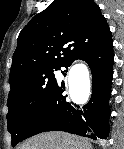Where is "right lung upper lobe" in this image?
<instances>
[{
    "mask_svg": "<svg viewBox=\"0 0 124 149\" xmlns=\"http://www.w3.org/2000/svg\"><path fill=\"white\" fill-rule=\"evenodd\" d=\"M111 39L101 10L93 0H54L22 29L13 54L9 84L60 69Z\"/></svg>",
    "mask_w": 124,
    "mask_h": 149,
    "instance_id": "right-lung-upper-lobe-1",
    "label": "right lung upper lobe"
}]
</instances>
